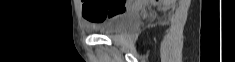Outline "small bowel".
<instances>
[{
  "label": "small bowel",
  "instance_id": "small-bowel-1",
  "mask_svg": "<svg viewBox=\"0 0 235 62\" xmlns=\"http://www.w3.org/2000/svg\"><path fill=\"white\" fill-rule=\"evenodd\" d=\"M84 18H85V17H84ZM85 19L88 21V23H89L90 26H95V25H96V24L90 22L87 18H85Z\"/></svg>",
  "mask_w": 235,
  "mask_h": 62
}]
</instances>
